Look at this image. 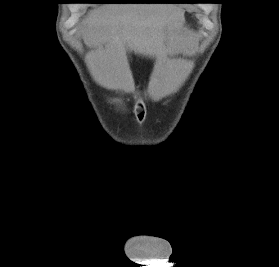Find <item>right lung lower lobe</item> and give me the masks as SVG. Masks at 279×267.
Masks as SVG:
<instances>
[{"label":"right lung lower lobe","mask_w":279,"mask_h":267,"mask_svg":"<svg viewBox=\"0 0 279 267\" xmlns=\"http://www.w3.org/2000/svg\"><path fill=\"white\" fill-rule=\"evenodd\" d=\"M86 2H89V3H105V2H98V1H95V0H88ZM106 3H139V2L131 1V2H106Z\"/></svg>","instance_id":"right-lung-lower-lobe-1"}]
</instances>
